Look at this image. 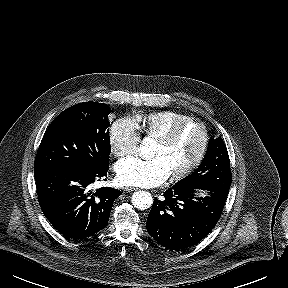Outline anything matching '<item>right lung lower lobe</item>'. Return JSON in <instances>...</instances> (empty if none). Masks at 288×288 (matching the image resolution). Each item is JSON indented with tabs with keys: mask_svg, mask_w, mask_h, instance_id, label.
Listing matches in <instances>:
<instances>
[{
	"mask_svg": "<svg viewBox=\"0 0 288 288\" xmlns=\"http://www.w3.org/2000/svg\"><path fill=\"white\" fill-rule=\"evenodd\" d=\"M108 169L93 174L65 169L34 172L40 207L55 229L77 240L106 227L113 202L121 192L110 187L92 192L89 185L103 179Z\"/></svg>",
	"mask_w": 288,
	"mask_h": 288,
	"instance_id": "1",
	"label": "right lung lower lobe"
}]
</instances>
